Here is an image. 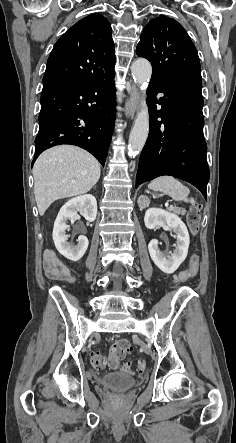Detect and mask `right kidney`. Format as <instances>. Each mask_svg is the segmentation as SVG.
<instances>
[{"label": "right kidney", "instance_id": "1", "mask_svg": "<svg viewBox=\"0 0 236 443\" xmlns=\"http://www.w3.org/2000/svg\"><path fill=\"white\" fill-rule=\"evenodd\" d=\"M80 212L87 221L93 222L97 215V202L94 196L90 194L78 196L67 201L60 209L58 216L54 222L53 240L56 249L67 259L71 261L80 260L88 248V239L86 236L80 235L77 239V245L68 243V235L66 230L68 226L67 220H74Z\"/></svg>", "mask_w": 236, "mask_h": 443}]
</instances>
